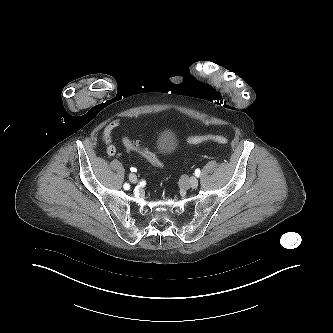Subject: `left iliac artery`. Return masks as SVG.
<instances>
[{"mask_svg":"<svg viewBox=\"0 0 333 333\" xmlns=\"http://www.w3.org/2000/svg\"><path fill=\"white\" fill-rule=\"evenodd\" d=\"M195 176H196V177H199V176H200V169H196V171H195Z\"/></svg>","mask_w":333,"mask_h":333,"instance_id":"44dca946","label":"left iliac artery"}]
</instances>
